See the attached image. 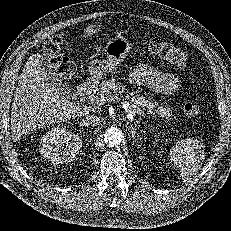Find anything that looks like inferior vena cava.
Wrapping results in <instances>:
<instances>
[{"label":"inferior vena cava","instance_id":"602c4592","mask_svg":"<svg viewBox=\"0 0 231 231\" xmlns=\"http://www.w3.org/2000/svg\"><path fill=\"white\" fill-rule=\"evenodd\" d=\"M102 122L101 118L96 115H87L82 119L81 125L85 127H95Z\"/></svg>","mask_w":231,"mask_h":231}]
</instances>
